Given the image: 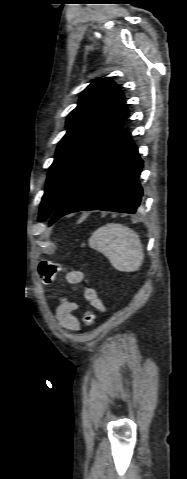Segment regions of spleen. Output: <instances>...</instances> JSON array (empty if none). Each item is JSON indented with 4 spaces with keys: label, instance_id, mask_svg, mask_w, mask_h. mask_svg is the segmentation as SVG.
Masks as SVG:
<instances>
[{
    "label": "spleen",
    "instance_id": "1",
    "mask_svg": "<svg viewBox=\"0 0 187 479\" xmlns=\"http://www.w3.org/2000/svg\"><path fill=\"white\" fill-rule=\"evenodd\" d=\"M89 246L108 258L112 266L121 272L139 270L143 263V248L138 234L118 223H108L95 230L89 238Z\"/></svg>",
    "mask_w": 187,
    "mask_h": 479
}]
</instances>
